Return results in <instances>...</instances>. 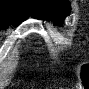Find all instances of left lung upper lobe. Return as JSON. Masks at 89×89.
I'll list each match as a JSON object with an SVG mask.
<instances>
[{
	"mask_svg": "<svg viewBox=\"0 0 89 89\" xmlns=\"http://www.w3.org/2000/svg\"><path fill=\"white\" fill-rule=\"evenodd\" d=\"M70 9L68 0H31L34 17L54 21L57 25L69 15Z\"/></svg>",
	"mask_w": 89,
	"mask_h": 89,
	"instance_id": "5c2ea615",
	"label": "left lung upper lobe"
}]
</instances>
